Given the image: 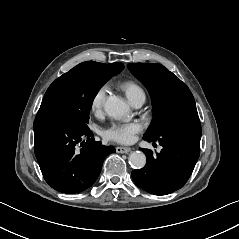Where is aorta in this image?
<instances>
[{"mask_svg":"<svg viewBox=\"0 0 239 239\" xmlns=\"http://www.w3.org/2000/svg\"><path fill=\"white\" fill-rule=\"evenodd\" d=\"M104 111L106 114L114 119H123L130 116V108L118 96H108L105 104ZM129 161L133 168L142 169L146 164V156L142 152H133L129 156Z\"/></svg>","mask_w":239,"mask_h":239,"instance_id":"1","label":"aorta"}]
</instances>
